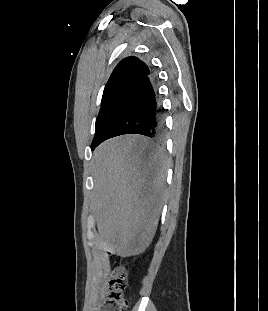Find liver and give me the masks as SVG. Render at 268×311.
I'll return each mask as SVG.
<instances>
[{
    "instance_id": "6515ba94",
    "label": "liver",
    "mask_w": 268,
    "mask_h": 311,
    "mask_svg": "<svg viewBox=\"0 0 268 311\" xmlns=\"http://www.w3.org/2000/svg\"><path fill=\"white\" fill-rule=\"evenodd\" d=\"M167 159L138 135L112 138L92 158V210L98 236L121 257L139 255L156 231L163 199Z\"/></svg>"
}]
</instances>
